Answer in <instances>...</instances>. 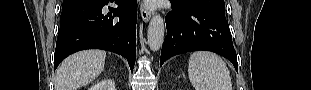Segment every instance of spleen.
Here are the masks:
<instances>
[{
  "mask_svg": "<svg viewBox=\"0 0 311 90\" xmlns=\"http://www.w3.org/2000/svg\"><path fill=\"white\" fill-rule=\"evenodd\" d=\"M188 76L195 90H232L226 63L212 52H194L189 58Z\"/></svg>",
  "mask_w": 311,
  "mask_h": 90,
  "instance_id": "obj_1",
  "label": "spleen"
}]
</instances>
